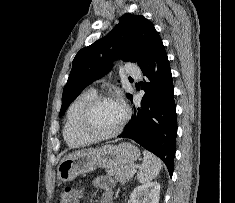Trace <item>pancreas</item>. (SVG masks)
Segmentation results:
<instances>
[{"instance_id":"pancreas-1","label":"pancreas","mask_w":235,"mask_h":203,"mask_svg":"<svg viewBox=\"0 0 235 203\" xmlns=\"http://www.w3.org/2000/svg\"><path fill=\"white\" fill-rule=\"evenodd\" d=\"M133 168L134 165L132 164L113 167L107 171V174L110 176H114L117 182L125 183L133 177Z\"/></svg>"}]
</instances>
